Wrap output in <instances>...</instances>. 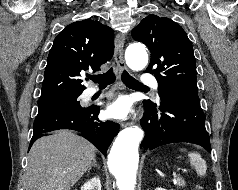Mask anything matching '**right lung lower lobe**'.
I'll list each match as a JSON object with an SVG mask.
<instances>
[{
    "mask_svg": "<svg viewBox=\"0 0 238 190\" xmlns=\"http://www.w3.org/2000/svg\"><path fill=\"white\" fill-rule=\"evenodd\" d=\"M99 107H82L56 111L35 118L30 146L42 134L58 129H71L83 133V136L96 146L105 156L112 139L119 131V124L98 119Z\"/></svg>",
    "mask_w": 238,
    "mask_h": 190,
    "instance_id": "1",
    "label": "right lung lower lobe"
}]
</instances>
